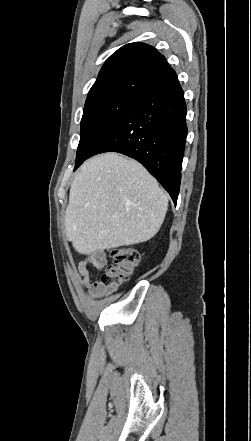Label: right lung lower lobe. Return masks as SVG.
Returning a JSON list of instances; mask_svg holds the SVG:
<instances>
[{"instance_id":"98d812e1","label":"right lung lower lobe","mask_w":251,"mask_h":441,"mask_svg":"<svg viewBox=\"0 0 251 441\" xmlns=\"http://www.w3.org/2000/svg\"><path fill=\"white\" fill-rule=\"evenodd\" d=\"M186 136V104L175 74L140 97L96 144L89 157L118 152L136 159L161 183L176 205Z\"/></svg>"}]
</instances>
